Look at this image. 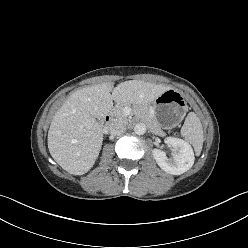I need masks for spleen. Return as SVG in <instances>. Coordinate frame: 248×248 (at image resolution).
<instances>
[{
    "label": "spleen",
    "mask_w": 248,
    "mask_h": 248,
    "mask_svg": "<svg viewBox=\"0 0 248 248\" xmlns=\"http://www.w3.org/2000/svg\"><path fill=\"white\" fill-rule=\"evenodd\" d=\"M181 135L193 145L197 154L201 153L203 146V128L200 119L194 112H190L181 128Z\"/></svg>",
    "instance_id": "1"
}]
</instances>
